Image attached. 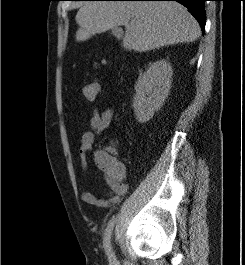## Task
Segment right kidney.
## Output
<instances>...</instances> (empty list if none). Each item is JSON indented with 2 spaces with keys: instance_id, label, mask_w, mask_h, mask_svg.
Instances as JSON below:
<instances>
[{
  "instance_id": "obj_1",
  "label": "right kidney",
  "mask_w": 245,
  "mask_h": 265,
  "mask_svg": "<svg viewBox=\"0 0 245 265\" xmlns=\"http://www.w3.org/2000/svg\"><path fill=\"white\" fill-rule=\"evenodd\" d=\"M172 74L170 63L159 60L139 76L133 101L134 113L139 123L149 121L154 112L163 105L170 90Z\"/></svg>"
}]
</instances>
